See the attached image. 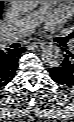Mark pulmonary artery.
<instances>
[{"label": "pulmonary artery", "mask_w": 74, "mask_h": 122, "mask_svg": "<svg viewBox=\"0 0 74 122\" xmlns=\"http://www.w3.org/2000/svg\"><path fill=\"white\" fill-rule=\"evenodd\" d=\"M52 2L53 1H42L43 8L52 4ZM43 8L38 9L36 12L26 16L22 20L15 23L12 27L5 30L2 33V40L5 43H13L27 35L38 24L44 11Z\"/></svg>", "instance_id": "e3ab8cb5"}]
</instances>
